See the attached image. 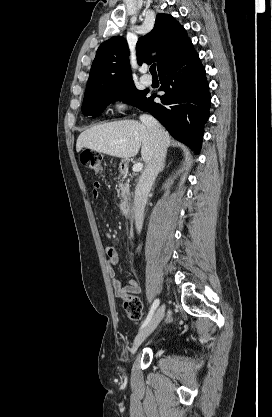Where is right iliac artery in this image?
Returning <instances> with one entry per match:
<instances>
[{
    "mask_svg": "<svg viewBox=\"0 0 272 417\" xmlns=\"http://www.w3.org/2000/svg\"><path fill=\"white\" fill-rule=\"evenodd\" d=\"M159 302H160L159 299H156L153 302L152 307H151V309H150V311H149V313H148V315H147V317H146L145 321L143 322V324H142V326H141L140 329L144 328L150 322V320L152 319V316H153L156 308L159 305Z\"/></svg>",
    "mask_w": 272,
    "mask_h": 417,
    "instance_id": "1",
    "label": "right iliac artery"
}]
</instances>
